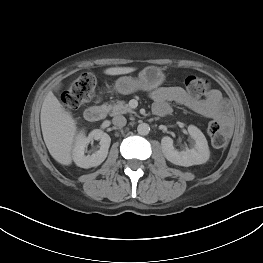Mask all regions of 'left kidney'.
<instances>
[{"label":"left kidney","instance_id":"obj_1","mask_svg":"<svg viewBox=\"0 0 263 263\" xmlns=\"http://www.w3.org/2000/svg\"><path fill=\"white\" fill-rule=\"evenodd\" d=\"M188 132L194 139L192 149L177 151L173 146V140L165 136L161 140L162 151L165 158L175 165L192 166L205 163L209 158V148L204 134L194 125L188 126Z\"/></svg>","mask_w":263,"mask_h":263}]
</instances>
